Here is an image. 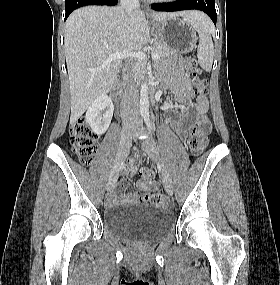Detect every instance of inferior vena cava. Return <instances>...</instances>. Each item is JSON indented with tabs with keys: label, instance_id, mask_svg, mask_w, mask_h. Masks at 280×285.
I'll use <instances>...</instances> for the list:
<instances>
[{
	"label": "inferior vena cava",
	"instance_id": "inferior-vena-cava-1",
	"mask_svg": "<svg viewBox=\"0 0 280 285\" xmlns=\"http://www.w3.org/2000/svg\"><path fill=\"white\" fill-rule=\"evenodd\" d=\"M121 7L127 14L139 10V0H120ZM132 74L130 73V76ZM138 89L135 81L130 78L124 88L121 100V117L123 125L132 124L138 119Z\"/></svg>",
	"mask_w": 280,
	"mask_h": 285
}]
</instances>
